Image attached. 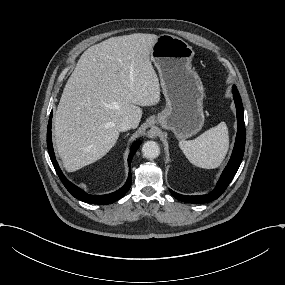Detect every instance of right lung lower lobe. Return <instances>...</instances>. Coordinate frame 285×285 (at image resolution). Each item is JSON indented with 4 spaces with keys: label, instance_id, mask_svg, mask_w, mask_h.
<instances>
[{
    "label": "right lung lower lobe",
    "instance_id": "1",
    "mask_svg": "<svg viewBox=\"0 0 285 285\" xmlns=\"http://www.w3.org/2000/svg\"><path fill=\"white\" fill-rule=\"evenodd\" d=\"M52 112L50 113V117H49V122H48V128H47V148H48V152H49V156L50 159L52 161V164L60 178V180L62 181V183L64 184V186L66 187V189L70 192L71 195H73L75 198L86 202V203H90V204H98V205H106V204H111L115 201H117L118 199H120L121 197H123L125 195V193L129 190L130 186H131V170L129 171V176L127 179V182L125 183V185L120 188L119 190L110 193V194H106V195H89L87 193H85L83 190H81L79 187L75 186L74 184H72L69 180L66 179V177L63 175L57 161L54 155V151H53V146H52V139H51V123H52ZM141 142L137 141L133 144L129 157H128V164L130 166L133 155L135 154L136 150L138 149V147L140 146Z\"/></svg>",
    "mask_w": 285,
    "mask_h": 285
}]
</instances>
